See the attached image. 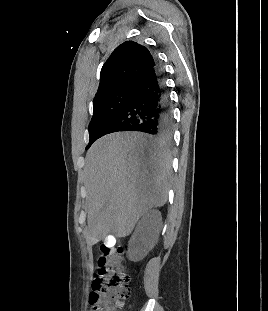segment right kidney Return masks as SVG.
I'll return each instance as SVG.
<instances>
[{
    "label": "right kidney",
    "instance_id": "ca27d5eb",
    "mask_svg": "<svg viewBox=\"0 0 268 311\" xmlns=\"http://www.w3.org/2000/svg\"><path fill=\"white\" fill-rule=\"evenodd\" d=\"M161 229L162 216L158 210L143 216L129 241V259L134 262L142 260L156 245Z\"/></svg>",
    "mask_w": 268,
    "mask_h": 311
}]
</instances>
